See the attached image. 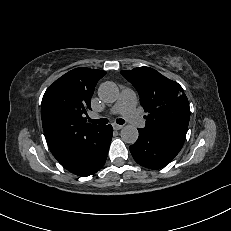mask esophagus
I'll use <instances>...</instances> for the list:
<instances>
[{
  "label": "esophagus",
  "mask_w": 231,
  "mask_h": 231,
  "mask_svg": "<svg viewBox=\"0 0 231 231\" xmlns=\"http://www.w3.org/2000/svg\"><path fill=\"white\" fill-rule=\"evenodd\" d=\"M122 125H119V124H113V128H114V130H120V129H122Z\"/></svg>",
  "instance_id": "34e87169"
}]
</instances>
